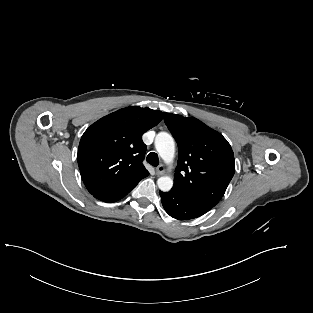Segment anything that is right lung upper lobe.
<instances>
[{
	"label": "right lung upper lobe",
	"instance_id": "cb5924a9",
	"mask_svg": "<svg viewBox=\"0 0 313 313\" xmlns=\"http://www.w3.org/2000/svg\"><path fill=\"white\" fill-rule=\"evenodd\" d=\"M162 118L161 111L131 106L99 119L84 132L77 160L91 194L149 175L142 164L146 145L141 137Z\"/></svg>",
	"mask_w": 313,
	"mask_h": 313
}]
</instances>
